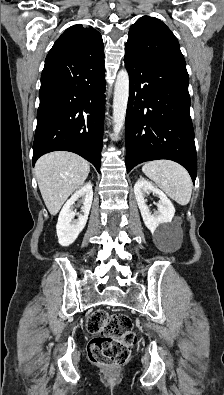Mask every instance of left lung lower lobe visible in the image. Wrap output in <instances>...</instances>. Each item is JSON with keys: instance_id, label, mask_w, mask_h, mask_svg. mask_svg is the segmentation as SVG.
<instances>
[{"instance_id": "0a47b994", "label": "left lung lower lobe", "mask_w": 224, "mask_h": 395, "mask_svg": "<svg viewBox=\"0 0 224 395\" xmlns=\"http://www.w3.org/2000/svg\"><path fill=\"white\" fill-rule=\"evenodd\" d=\"M129 73L126 167L169 159L183 165L195 183L197 155L190 117L188 73L125 51Z\"/></svg>"}]
</instances>
